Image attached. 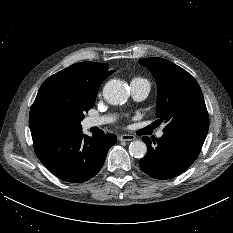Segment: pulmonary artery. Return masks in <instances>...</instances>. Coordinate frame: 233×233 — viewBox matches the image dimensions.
<instances>
[{
  "label": "pulmonary artery",
  "mask_w": 233,
  "mask_h": 233,
  "mask_svg": "<svg viewBox=\"0 0 233 233\" xmlns=\"http://www.w3.org/2000/svg\"><path fill=\"white\" fill-rule=\"evenodd\" d=\"M130 89L133 97L136 100H143L147 97L149 91H150V84L145 79H136L132 80L130 83ZM113 121L112 116H102V117H90L87 119L86 124L88 127H97L102 126L104 124L110 123ZM163 130H160L157 133L158 137L163 136Z\"/></svg>",
  "instance_id": "e3ab8cb5"
}]
</instances>
